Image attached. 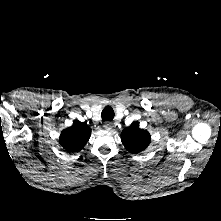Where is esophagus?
I'll list each match as a JSON object with an SVG mask.
<instances>
[{
    "label": "esophagus",
    "mask_w": 221,
    "mask_h": 221,
    "mask_svg": "<svg viewBox=\"0 0 221 221\" xmlns=\"http://www.w3.org/2000/svg\"><path fill=\"white\" fill-rule=\"evenodd\" d=\"M112 127H113L112 122L107 121V122L104 123V128H105L106 130H111Z\"/></svg>",
    "instance_id": "1"
}]
</instances>
